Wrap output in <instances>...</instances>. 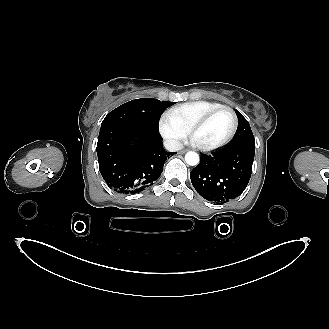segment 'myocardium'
<instances>
[{
	"mask_svg": "<svg viewBox=\"0 0 329 329\" xmlns=\"http://www.w3.org/2000/svg\"><path fill=\"white\" fill-rule=\"evenodd\" d=\"M222 111H228L230 112V114L232 115L233 118V126L232 129L229 133V135L222 141L218 142V143H214V144H200L194 141V135L195 133L201 128L203 127L212 117H214L216 114L222 112ZM238 128V117L234 111L233 108L223 105L219 108H216L212 111H210L209 113H207L205 116H203L201 119H199L198 121H196L189 129V136L190 139L193 141L194 145L202 150V151H211L217 148H220L222 146H225L226 144H228L235 136L236 131Z\"/></svg>",
	"mask_w": 329,
	"mask_h": 329,
	"instance_id": "1",
	"label": "myocardium"
}]
</instances>
